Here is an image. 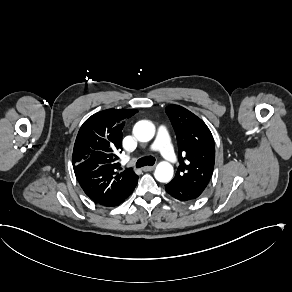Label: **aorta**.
<instances>
[{
	"label": "aorta",
	"instance_id": "obj_1",
	"mask_svg": "<svg viewBox=\"0 0 292 292\" xmlns=\"http://www.w3.org/2000/svg\"><path fill=\"white\" fill-rule=\"evenodd\" d=\"M154 133V125L148 121H139L134 127V135L142 142L151 140ZM154 176L159 182H169L173 177V166L166 161L160 162L156 166Z\"/></svg>",
	"mask_w": 292,
	"mask_h": 292
}]
</instances>
